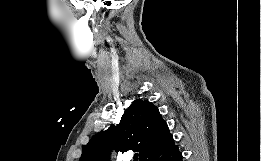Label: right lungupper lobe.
Masks as SVG:
<instances>
[{
  "label": "right lung upper lobe",
  "instance_id": "1",
  "mask_svg": "<svg viewBox=\"0 0 261 161\" xmlns=\"http://www.w3.org/2000/svg\"><path fill=\"white\" fill-rule=\"evenodd\" d=\"M174 144L166 122L151 102L133 101L117 126H110L83 145L80 161H108L112 148L139 152V161Z\"/></svg>",
  "mask_w": 261,
  "mask_h": 161
}]
</instances>
